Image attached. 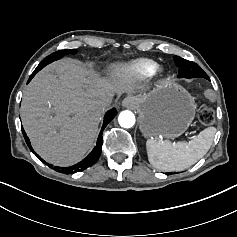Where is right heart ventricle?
Returning <instances> with one entry per match:
<instances>
[{"instance_id":"right-heart-ventricle-1","label":"right heart ventricle","mask_w":237,"mask_h":237,"mask_svg":"<svg viewBox=\"0 0 237 237\" xmlns=\"http://www.w3.org/2000/svg\"><path fill=\"white\" fill-rule=\"evenodd\" d=\"M151 66H152V63L150 61L142 60L135 63L133 65V68L138 71L144 72V71H147Z\"/></svg>"}]
</instances>
